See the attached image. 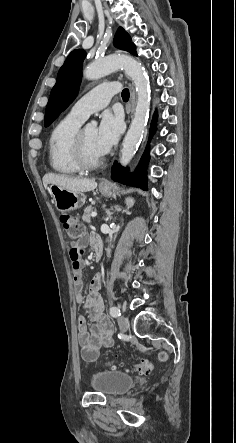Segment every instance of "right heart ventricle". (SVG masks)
I'll list each match as a JSON object with an SVG mask.
<instances>
[{
    "instance_id": "obj_1",
    "label": "right heart ventricle",
    "mask_w": 236,
    "mask_h": 443,
    "mask_svg": "<svg viewBox=\"0 0 236 443\" xmlns=\"http://www.w3.org/2000/svg\"><path fill=\"white\" fill-rule=\"evenodd\" d=\"M83 120L68 114L51 131L48 141L50 167L62 174H76L80 169L72 156V142Z\"/></svg>"
}]
</instances>
